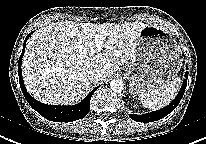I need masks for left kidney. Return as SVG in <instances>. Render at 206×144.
<instances>
[{"label":"left kidney","instance_id":"5707ae66","mask_svg":"<svg viewBox=\"0 0 206 144\" xmlns=\"http://www.w3.org/2000/svg\"><path fill=\"white\" fill-rule=\"evenodd\" d=\"M133 108H136V105H133Z\"/></svg>","mask_w":206,"mask_h":144}]
</instances>
